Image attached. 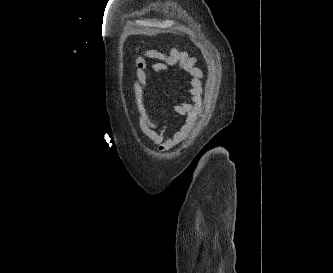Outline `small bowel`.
<instances>
[{
    "instance_id": "small-bowel-1",
    "label": "small bowel",
    "mask_w": 333,
    "mask_h": 273,
    "mask_svg": "<svg viewBox=\"0 0 333 273\" xmlns=\"http://www.w3.org/2000/svg\"><path fill=\"white\" fill-rule=\"evenodd\" d=\"M146 59H153L156 62L150 68ZM196 59L191 57L186 51H179L171 48L168 53L157 49H146L135 58V79L132 83L140 131L154 144L160 151H167L173 147L187 130L190 121L195 115V111L202 104V71L196 67ZM172 66L179 69L189 76V95L190 103H182L177 106L176 113L186 116V123L181 131L172 138H166V125L153 120L152 115L146 105L148 92V82L151 71L155 73L163 72Z\"/></svg>"
}]
</instances>
